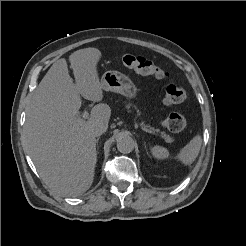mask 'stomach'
Masks as SVG:
<instances>
[{
  "label": "stomach",
  "instance_id": "0dacf381",
  "mask_svg": "<svg viewBox=\"0 0 246 246\" xmlns=\"http://www.w3.org/2000/svg\"><path fill=\"white\" fill-rule=\"evenodd\" d=\"M101 84L105 91L119 93L129 99L137 95V88L133 81L118 71H106L101 78Z\"/></svg>",
  "mask_w": 246,
  "mask_h": 246
}]
</instances>
